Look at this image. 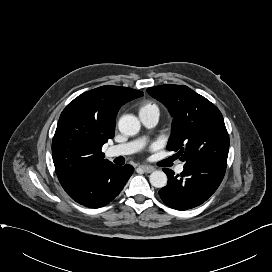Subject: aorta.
<instances>
[{
  "label": "aorta",
  "mask_w": 272,
  "mask_h": 272,
  "mask_svg": "<svg viewBox=\"0 0 272 272\" xmlns=\"http://www.w3.org/2000/svg\"><path fill=\"white\" fill-rule=\"evenodd\" d=\"M140 121L133 115L127 114L122 116L118 122L119 131L127 136H134L140 130ZM152 186L163 188L167 184V175L163 171H154L149 176Z\"/></svg>",
  "instance_id": "762f6f07"
}]
</instances>
